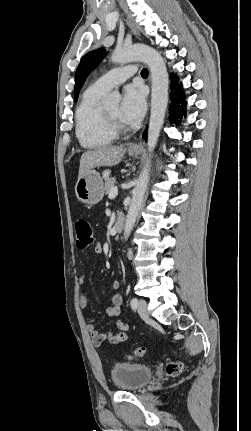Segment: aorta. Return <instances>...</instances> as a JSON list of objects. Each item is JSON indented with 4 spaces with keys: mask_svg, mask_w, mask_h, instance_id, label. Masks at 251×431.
<instances>
[{
    "mask_svg": "<svg viewBox=\"0 0 251 431\" xmlns=\"http://www.w3.org/2000/svg\"><path fill=\"white\" fill-rule=\"evenodd\" d=\"M111 60L114 63L119 64L140 60L146 63L150 69L152 78V94L147 146L148 151L151 153L160 136L168 103L169 77L165 61L155 49L147 45H133L116 49L111 56ZM113 98L114 96H111L108 103L114 102ZM148 182L149 165L147 163L132 191V199L124 225V235L126 240L129 237L138 217Z\"/></svg>",
    "mask_w": 251,
    "mask_h": 431,
    "instance_id": "obj_1",
    "label": "aorta"
}]
</instances>
